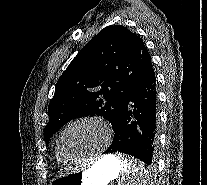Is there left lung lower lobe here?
I'll use <instances>...</instances> for the list:
<instances>
[{
  "label": "left lung lower lobe",
  "instance_id": "left-lung-lower-lobe-1",
  "mask_svg": "<svg viewBox=\"0 0 207 185\" xmlns=\"http://www.w3.org/2000/svg\"><path fill=\"white\" fill-rule=\"evenodd\" d=\"M156 95V78L152 68L124 99L113 127V143L105 153H126L148 165L152 163L158 141Z\"/></svg>",
  "mask_w": 207,
  "mask_h": 185
}]
</instances>
